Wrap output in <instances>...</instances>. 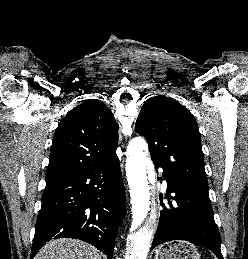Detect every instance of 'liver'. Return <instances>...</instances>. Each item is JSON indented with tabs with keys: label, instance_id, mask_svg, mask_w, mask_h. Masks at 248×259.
<instances>
[{
	"label": "liver",
	"instance_id": "liver-1",
	"mask_svg": "<svg viewBox=\"0 0 248 259\" xmlns=\"http://www.w3.org/2000/svg\"><path fill=\"white\" fill-rule=\"evenodd\" d=\"M34 259H101V254L83 241L61 238L46 243Z\"/></svg>",
	"mask_w": 248,
	"mask_h": 259
}]
</instances>
